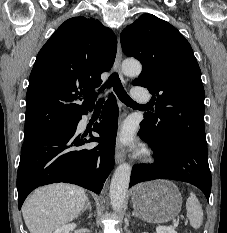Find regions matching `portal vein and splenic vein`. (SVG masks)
<instances>
[{
    "label": "portal vein and splenic vein",
    "mask_w": 227,
    "mask_h": 233,
    "mask_svg": "<svg viewBox=\"0 0 227 233\" xmlns=\"http://www.w3.org/2000/svg\"><path fill=\"white\" fill-rule=\"evenodd\" d=\"M178 224H179V220L178 219L173 220V228L178 227Z\"/></svg>",
    "instance_id": "1"
}]
</instances>
